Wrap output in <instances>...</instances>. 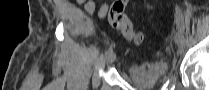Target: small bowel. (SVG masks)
Segmentation results:
<instances>
[{
  "mask_svg": "<svg viewBox=\"0 0 209 90\" xmlns=\"http://www.w3.org/2000/svg\"><path fill=\"white\" fill-rule=\"evenodd\" d=\"M95 10V2L94 1H88L86 2L85 4V11L88 13V14H92ZM108 13V4H103L97 14L100 18H104Z\"/></svg>",
  "mask_w": 209,
  "mask_h": 90,
  "instance_id": "1",
  "label": "small bowel"
}]
</instances>
